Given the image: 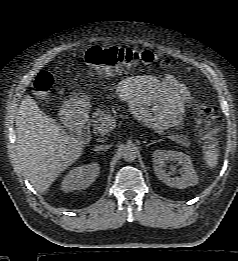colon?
<instances>
[{"label":"colon","instance_id":"1","mask_svg":"<svg viewBox=\"0 0 238 261\" xmlns=\"http://www.w3.org/2000/svg\"><path fill=\"white\" fill-rule=\"evenodd\" d=\"M86 62L102 74L120 73L152 65L165 66L168 61L150 51H137L117 46H94L85 54ZM53 85V76L47 71L39 73L34 81V92L47 95ZM197 130L205 141L213 140L221 127L216 109L201 103L195 110Z\"/></svg>","mask_w":238,"mask_h":261}]
</instances>
